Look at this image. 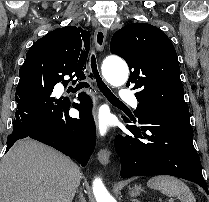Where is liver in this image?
<instances>
[{"instance_id": "liver-1", "label": "liver", "mask_w": 209, "mask_h": 202, "mask_svg": "<svg viewBox=\"0 0 209 202\" xmlns=\"http://www.w3.org/2000/svg\"><path fill=\"white\" fill-rule=\"evenodd\" d=\"M80 169L31 139L16 142L0 164V202H72Z\"/></svg>"}]
</instances>
